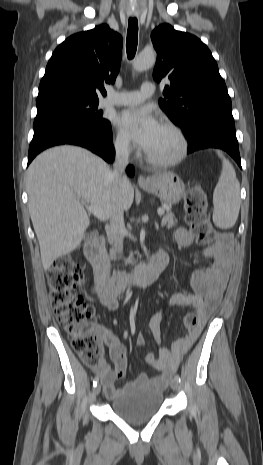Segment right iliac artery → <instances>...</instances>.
<instances>
[{"mask_svg": "<svg viewBox=\"0 0 263 465\" xmlns=\"http://www.w3.org/2000/svg\"><path fill=\"white\" fill-rule=\"evenodd\" d=\"M99 382V377L96 376L94 379H93V387L97 386V383Z\"/></svg>", "mask_w": 263, "mask_h": 465, "instance_id": "obj_1", "label": "right iliac artery"}]
</instances>
